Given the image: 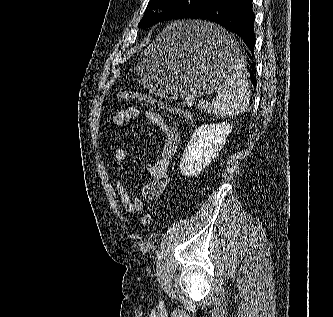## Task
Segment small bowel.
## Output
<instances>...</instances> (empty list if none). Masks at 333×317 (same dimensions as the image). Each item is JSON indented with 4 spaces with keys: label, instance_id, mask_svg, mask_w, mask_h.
<instances>
[{
    "label": "small bowel",
    "instance_id": "1",
    "mask_svg": "<svg viewBox=\"0 0 333 317\" xmlns=\"http://www.w3.org/2000/svg\"><path fill=\"white\" fill-rule=\"evenodd\" d=\"M139 115L140 110L135 106L123 108L113 115L112 123L117 127H125ZM146 117L159 129L163 137L161 152L157 159L148 167L151 180L142 187L141 196L132 194L122 177L116 178L114 181L115 189L119 195L122 206L132 215L143 211L144 200H156L167 189L170 182L167 175L168 167L177 151L180 141L178 130L168 123L160 114L147 111ZM113 156L118 172L123 174L127 159L126 151L123 148L117 147L113 152Z\"/></svg>",
    "mask_w": 333,
    "mask_h": 317
}]
</instances>
